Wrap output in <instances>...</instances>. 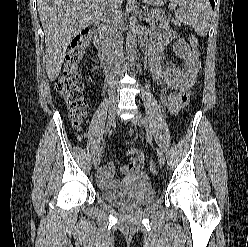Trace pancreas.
Segmentation results:
<instances>
[{"mask_svg": "<svg viewBox=\"0 0 248 247\" xmlns=\"http://www.w3.org/2000/svg\"><path fill=\"white\" fill-rule=\"evenodd\" d=\"M150 21L152 22V24H157L159 27H161L163 24L165 26L167 25L163 15H160L158 12L154 13V15L151 16Z\"/></svg>", "mask_w": 248, "mask_h": 247, "instance_id": "cf45deb5", "label": "pancreas"}]
</instances>
